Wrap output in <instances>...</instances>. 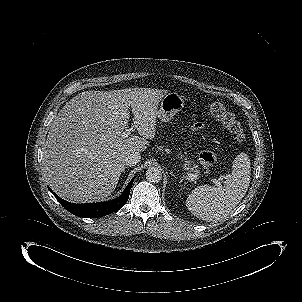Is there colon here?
Wrapping results in <instances>:
<instances>
[{"instance_id": "1", "label": "colon", "mask_w": 302, "mask_h": 302, "mask_svg": "<svg viewBox=\"0 0 302 302\" xmlns=\"http://www.w3.org/2000/svg\"><path fill=\"white\" fill-rule=\"evenodd\" d=\"M210 113L218 118L222 124L232 132L237 141L241 142L245 138V134L240 122L229 112L223 103L214 101L209 107ZM200 164L205 172L215 163L217 154L214 150L206 149L200 154Z\"/></svg>"}]
</instances>
